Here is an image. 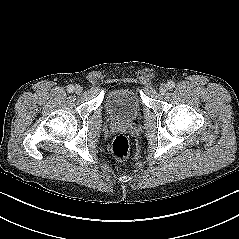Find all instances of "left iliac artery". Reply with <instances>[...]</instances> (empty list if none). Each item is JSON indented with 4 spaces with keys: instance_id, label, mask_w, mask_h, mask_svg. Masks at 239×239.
<instances>
[{
    "instance_id": "left-iliac-artery-1",
    "label": "left iliac artery",
    "mask_w": 239,
    "mask_h": 239,
    "mask_svg": "<svg viewBox=\"0 0 239 239\" xmlns=\"http://www.w3.org/2000/svg\"><path fill=\"white\" fill-rule=\"evenodd\" d=\"M168 89H173L175 87V83L173 81L168 82Z\"/></svg>"
}]
</instances>
